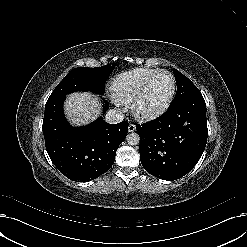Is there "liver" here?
Segmentation results:
<instances>
[{
    "label": "liver",
    "mask_w": 247,
    "mask_h": 247,
    "mask_svg": "<svg viewBox=\"0 0 247 247\" xmlns=\"http://www.w3.org/2000/svg\"><path fill=\"white\" fill-rule=\"evenodd\" d=\"M65 114L74 125L88 124L101 113L98 98L90 93H73L67 97Z\"/></svg>",
    "instance_id": "liver-1"
}]
</instances>
